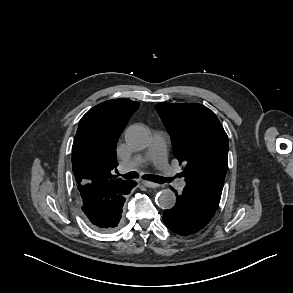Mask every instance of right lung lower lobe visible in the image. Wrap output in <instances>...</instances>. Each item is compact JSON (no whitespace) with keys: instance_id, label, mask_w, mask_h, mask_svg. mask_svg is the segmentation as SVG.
Segmentation results:
<instances>
[{"instance_id":"1","label":"right lung lower lobe","mask_w":293,"mask_h":293,"mask_svg":"<svg viewBox=\"0 0 293 293\" xmlns=\"http://www.w3.org/2000/svg\"><path fill=\"white\" fill-rule=\"evenodd\" d=\"M136 185L130 180L78 184L81 209L88 223L101 231L120 226L125 197Z\"/></svg>"}]
</instances>
